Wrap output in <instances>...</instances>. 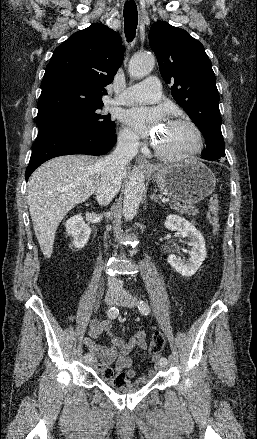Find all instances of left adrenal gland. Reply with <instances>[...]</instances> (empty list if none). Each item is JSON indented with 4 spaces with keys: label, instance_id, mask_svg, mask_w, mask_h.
Segmentation results:
<instances>
[{
    "label": "left adrenal gland",
    "instance_id": "1",
    "mask_svg": "<svg viewBox=\"0 0 257 439\" xmlns=\"http://www.w3.org/2000/svg\"><path fill=\"white\" fill-rule=\"evenodd\" d=\"M157 189L154 190L153 194L150 196V200H154L155 202L160 203V200L156 196Z\"/></svg>",
    "mask_w": 257,
    "mask_h": 439
}]
</instances>
